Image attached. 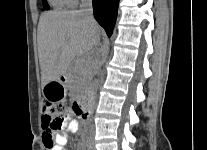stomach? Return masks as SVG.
<instances>
[{
	"mask_svg": "<svg viewBox=\"0 0 207 150\" xmlns=\"http://www.w3.org/2000/svg\"><path fill=\"white\" fill-rule=\"evenodd\" d=\"M43 95L49 100H62L66 96L67 88L62 79L51 81L42 88Z\"/></svg>",
	"mask_w": 207,
	"mask_h": 150,
	"instance_id": "stomach-1",
	"label": "stomach"
}]
</instances>
